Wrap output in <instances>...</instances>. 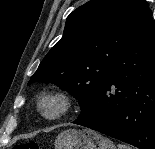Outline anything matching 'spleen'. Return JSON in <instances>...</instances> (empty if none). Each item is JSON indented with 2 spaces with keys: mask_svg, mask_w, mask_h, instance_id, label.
I'll list each match as a JSON object with an SVG mask.
<instances>
[{
  "mask_svg": "<svg viewBox=\"0 0 155 149\" xmlns=\"http://www.w3.org/2000/svg\"><path fill=\"white\" fill-rule=\"evenodd\" d=\"M118 149H131V147L124 144H118Z\"/></svg>",
  "mask_w": 155,
  "mask_h": 149,
  "instance_id": "spleen-1",
  "label": "spleen"
}]
</instances>
